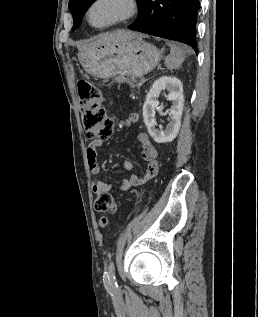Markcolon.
<instances>
[{"mask_svg": "<svg viewBox=\"0 0 258 317\" xmlns=\"http://www.w3.org/2000/svg\"><path fill=\"white\" fill-rule=\"evenodd\" d=\"M79 108L82 124L88 137L104 140L113 133L114 123L102 104L100 92L86 80L78 82ZM94 208L102 214H114L117 211L113 197L109 193H99L94 200ZM102 227L108 224L106 217H101Z\"/></svg>", "mask_w": 258, "mask_h": 317, "instance_id": "1", "label": "colon"}]
</instances>
